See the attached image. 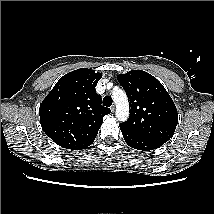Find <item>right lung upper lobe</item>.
Listing matches in <instances>:
<instances>
[{"label": "right lung upper lobe", "mask_w": 214, "mask_h": 214, "mask_svg": "<svg viewBox=\"0 0 214 214\" xmlns=\"http://www.w3.org/2000/svg\"><path fill=\"white\" fill-rule=\"evenodd\" d=\"M101 77L91 69L74 70L60 78L40 104L42 129L59 146L82 150L93 143L110 113L95 91Z\"/></svg>", "instance_id": "1"}]
</instances>
